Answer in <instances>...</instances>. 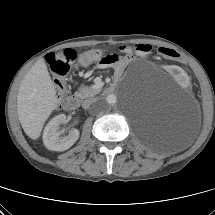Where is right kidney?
<instances>
[{
	"label": "right kidney",
	"mask_w": 215,
	"mask_h": 215,
	"mask_svg": "<svg viewBox=\"0 0 215 215\" xmlns=\"http://www.w3.org/2000/svg\"><path fill=\"white\" fill-rule=\"evenodd\" d=\"M66 122V115L60 114L54 117L45 127L43 132V142L47 149L53 151H65L69 149L79 138V131L72 129L68 135L61 136L62 131L59 126Z\"/></svg>",
	"instance_id": "right-kidney-1"
}]
</instances>
